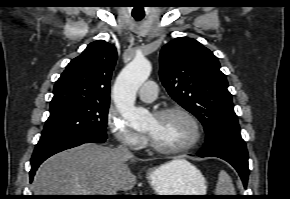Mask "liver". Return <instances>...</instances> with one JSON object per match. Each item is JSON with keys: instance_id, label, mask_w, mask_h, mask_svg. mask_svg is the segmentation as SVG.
Here are the masks:
<instances>
[{"instance_id": "1", "label": "liver", "mask_w": 290, "mask_h": 199, "mask_svg": "<svg viewBox=\"0 0 290 199\" xmlns=\"http://www.w3.org/2000/svg\"><path fill=\"white\" fill-rule=\"evenodd\" d=\"M132 155L117 149L86 143L48 158L33 180L34 195H116L129 191L136 176L127 162ZM183 159L168 163L178 165Z\"/></svg>"}]
</instances>
